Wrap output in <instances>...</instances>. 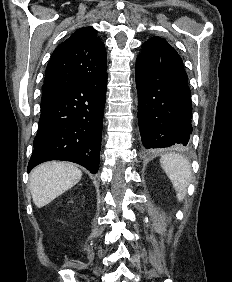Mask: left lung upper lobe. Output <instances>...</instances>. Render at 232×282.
I'll return each mask as SVG.
<instances>
[{
    "label": "left lung upper lobe",
    "instance_id": "left-lung-upper-lobe-1",
    "mask_svg": "<svg viewBox=\"0 0 232 282\" xmlns=\"http://www.w3.org/2000/svg\"><path fill=\"white\" fill-rule=\"evenodd\" d=\"M160 37H152L151 39L149 40H155V39H159Z\"/></svg>",
    "mask_w": 232,
    "mask_h": 282
}]
</instances>
